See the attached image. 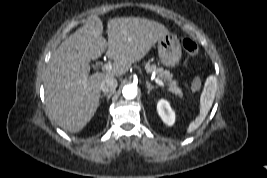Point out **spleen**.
Here are the masks:
<instances>
[{
	"instance_id": "obj_1",
	"label": "spleen",
	"mask_w": 267,
	"mask_h": 178,
	"mask_svg": "<svg viewBox=\"0 0 267 178\" xmlns=\"http://www.w3.org/2000/svg\"><path fill=\"white\" fill-rule=\"evenodd\" d=\"M216 90V78L214 76H209L205 82L204 90L200 97L199 115L189 124L186 131L187 134H191L197 130L205 120L215 98Z\"/></svg>"
}]
</instances>
